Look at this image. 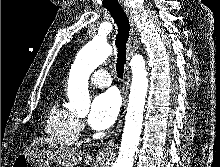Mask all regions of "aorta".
Returning a JSON list of instances; mask_svg holds the SVG:
<instances>
[{
    "instance_id": "aorta-1",
    "label": "aorta",
    "mask_w": 220,
    "mask_h": 167,
    "mask_svg": "<svg viewBox=\"0 0 220 167\" xmlns=\"http://www.w3.org/2000/svg\"><path fill=\"white\" fill-rule=\"evenodd\" d=\"M111 52V46L105 40L97 37L78 52L68 80L67 94L70 111L78 115L88 114L90 108L89 77L109 57ZM129 65L132 69V83L119 155L113 167L133 166L147 98L148 78L143 57L135 55Z\"/></svg>"
}]
</instances>
